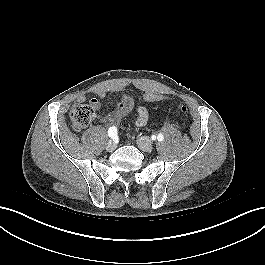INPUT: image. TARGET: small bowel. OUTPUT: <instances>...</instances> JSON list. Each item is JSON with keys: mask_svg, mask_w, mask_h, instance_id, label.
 <instances>
[{"mask_svg": "<svg viewBox=\"0 0 265 265\" xmlns=\"http://www.w3.org/2000/svg\"><path fill=\"white\" fill-rule=\"evenodd\" d=\"M102 96V94H99ZM144 96V95H143ZM162 100L164 97L159 94ZM86 100V97L81 95L78 97V101L83 102ZM159 101V100H158ZM91 102L97 107H99V101L97 99H92ZM134 106V98L130 95H124L121 102L118 105V108L114 111L109 112L108 114L101 117V121L106 125H116L120 122L122 117L127 115ZM149 120L148 109L141 105L137 108V118L136 125L139 127L145 126Z\"/></svg>", "mask_w": 265, "mask_h": 265, "instance_id": "1", "label": "small bowel"}]
</instances>
